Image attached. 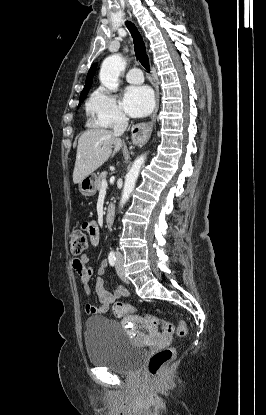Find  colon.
Instances as JSON below:
<instances>
[{
    "instance_id": "5ec220e1",
    "label": "colon",
    "mask_w": 266,
    "mask_h": 415,
    "mask_svg": "<svg viewBox=\"0 0 266 415\" xmlns=\"http://www.w3.org/2000/svg\"><path fill=\"white\" fill-rule=\"evenodd\" d=\"M70 250L73 254H81L88 246V238L82 230H73L69 236ZM136 311L135 307L127 302H116L113 306V312L117 317H124ZM147 324L157 329L162 334H173L174 332L179 338L187 335L186 324L181 321L175 328L168 321L161 320L153 315L144 316ZM175 356V349L167 347L153 353L149 360L148 369L153 376L161 375L169 366Z\"/></svg>"
}]
</instances>
